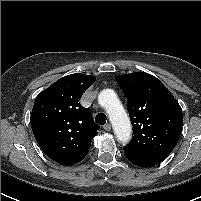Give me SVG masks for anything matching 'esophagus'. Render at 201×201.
I'll list each match as a JSON object with an SVG mask.
<instances>
[{
    "label": "esophagus",
    "instance_id": "1",
    "mask_svg": "<svg viewBox=\"0 0 201 201\" xmlns=\"http://www.w3.org/2000/svg\"><path fill=\"white\" fill-rule=\"evenodd\" d=\"M103 128H104L105 131H110L111 130V125L109 123H107V124H105L103 126Z\"/></svg>",
    "mask_w": 201,
    "mask_h": 201
}]
</instances>
